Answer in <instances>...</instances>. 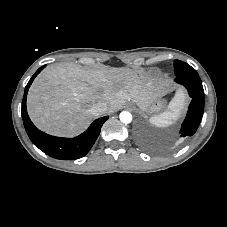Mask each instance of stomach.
<instances>
[{"label":"stomach","instance_id":"obj_1","mask_svg":"<svg viewBox=\"0 0 227 227\" xmlns=\"http://www.w3.org/2000/svg\"><path fill=\"white\" fill-rule=\"evenodd\" d=\"M131 104L137 105L142 111H145L148 114H154L163 110V108L165 107V100L158 98L154 100L152 103H150L149 105H147L146 107L141 106L140 104L134 101H132Z\"/></svg>","mask_w":227,"mask_h":227}]
</instances>
